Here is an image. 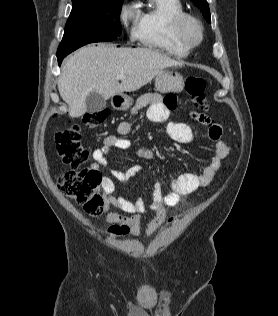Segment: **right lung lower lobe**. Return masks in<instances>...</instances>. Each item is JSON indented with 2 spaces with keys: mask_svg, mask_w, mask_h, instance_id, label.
Listing matches in <instances>:
<instances>
[{
  "mask_svg": "<svg viewBox=\"0 0 278 316\" xmlns=\"http://www.w3.org/2000/svg\"><path fill=\"white\" fill-rule=\"evenodd\" d=\"M64 57H58V64L60 65Z\"/></svg>",
  "mask_w": 278,
  "mask_h": 316,
  "instance_id": "obj_1",
  "label": "right lung lower lobe"
}]
</instances>
